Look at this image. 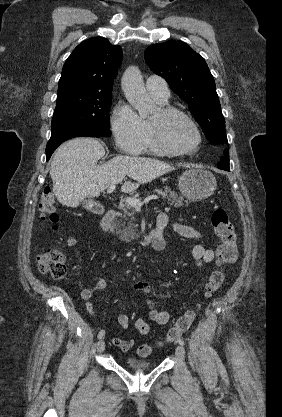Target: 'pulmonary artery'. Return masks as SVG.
<instances>
[{
    "label": "pulmonary artery",
    "instance_id": "obj_1",
    "mask_svg": "<svg viewBox=\"0 0 282 417\" xmlns=\"http://www.w3.org/2000/svg\"><path fill=\"white\" fill-rule=\"evenodd\" d=\"M146 89L149 94L157 101V102H167L168 98L170 97V91L166 81L156 75L150 76L146 79Z\"/></svg>",
    "mask_w": 282,
    "mask_h": 417
}]
</instances>
